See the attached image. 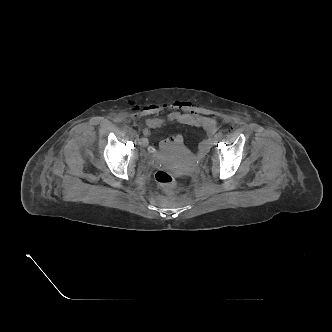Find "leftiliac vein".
<instances>
[{"instance_id":"obj_1","label":"left iliac vein","mask_w":332,"mask_h":332,"mask_svg":"<svg viewBox=\"0 0 332 332\" xmlns=\"http://www.w3.org/2000/svg\"><path fill=\"white\" fill-rule=\"evenodd\" d=\"M219 139H220V138H219L217 135H215V137H214V139H213V143L215 144Z\"/></svg>"}]
</instances>
